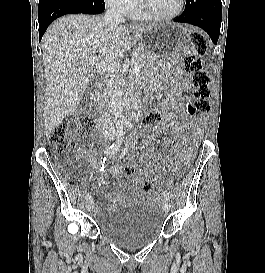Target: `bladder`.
Returning <instances> with one entry per match:
<instances>
[{"mask_svg":"<svg viewBox=\"0 0 265 273\" xmlns=\"http://www.w3.org/2000/svg\"><path fill=\"white\" fill-rule=\"evenodd\" d=\"M163 224L161 210L150 203L130 204L98 221L100 232L108 240L125 248H137L150 243L159 237Z\"/></svg>","mask_w":265,"mask_h":273,"instance_id":"31cf9c89","label":"bladder"}]
</instances>
